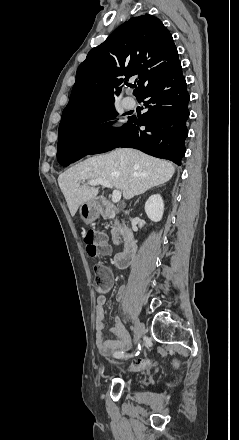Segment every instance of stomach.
<instances>
[{
	"label": "stomach",
	"mask_w": 239,
	"mask_h": 440,
	"mask_svg": "<svg viewBox=\"0 0 239 440\" xmlns=\"http://www.w3.org/2000/svg\"><path fill=\"white\" fill-rule=\"evenodd\" d=\"M102 212V206L98 200H89L84 202L79 208V214L85 224H92L99 218Z\"/></svg>",
	"instance_id": "obj_1"
}]
</instances>
